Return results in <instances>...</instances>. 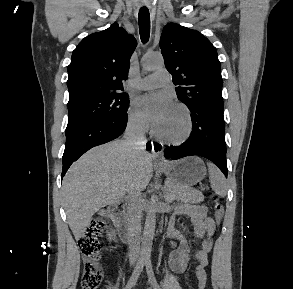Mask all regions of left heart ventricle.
<instances>
[{"instance_id":"obj_1","label":"left heart ventricle","mask_w":293,"mask_h":289,"mask_svg":"<svg viewBox=\"0 0 293 289\" xmlns=\"http://www.w3.org/2000/svg\"><path fill=\"white\" fill-rule=\"evenodd\" d=\"M186 127V120L183 112L173 107L167 118L156 127L158 132L166 137L175 138L180 136Z\"/></svg>"}]
</instances>
